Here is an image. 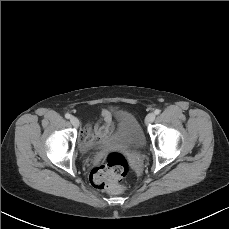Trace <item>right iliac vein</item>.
Returning a JSON list of instances; mask_svg holds the SVG:
<instances>
[{
    "label": "right iliac vein",
    "instance_id": "1",
    "mask_svg": "<svg viewBox=\"0 0 229 229\" xmlns=\"http://www.w3.org/2000/svg\"><path fill=\"white\" fill-rule=\"evenodd\" d=\"M70 122L72 123L73 126L78 127L80 125V121L77 117H71Z\"/></svg>",
    "mask_w": 229,
    "mask_h": 229
}]
</instances>
